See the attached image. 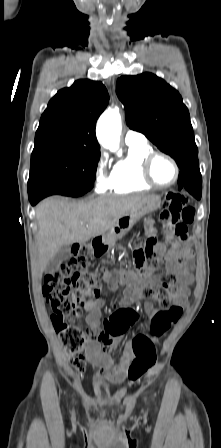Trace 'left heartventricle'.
I'll use <instances>...</instances> for the list:
<instances>
[{
    "mask_svg": "<svg viewBox=\"0 0 221 448\" xmlns=\"http://www.w3.org/2000/svg\"><path fill=\"white\" fill-rule=\"evenodd\" d=\"M152 173L156 181L161 184H168L172 182L176 175L174 166L164 157H158L154 161Z\"/></svg>",
    "mask_w": 221,
    "mask_h": 448,
    "instance_id": "left-heart-ventricle-1",
    "label": "left heart ventricle"
}]
</instances>
